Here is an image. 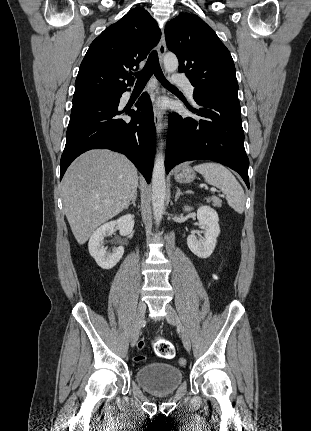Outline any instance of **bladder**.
I'll use <instances>...</instances> for the list:
<instances>
[{
  "label": "bladder",
  "instance_id": "obj_1",
  "mask_svg": "<svg viewBox=\"0 0 311 431\" xmlns=\"http://www.w3.org/2000/svg\"><path fill=\"white\" fill-rule=\"evenodd\" d=\"M137 383L155 395L174 392L183 381L180 368L169 363H150L139 367L135 374Z\"/></svg>",
  "mask_w": 311,
  "mask_h": 431
}]
</instances>
